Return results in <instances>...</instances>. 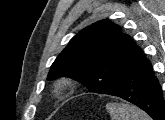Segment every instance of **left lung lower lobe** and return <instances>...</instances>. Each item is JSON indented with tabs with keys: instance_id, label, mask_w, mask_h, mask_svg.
<instances>
[{
	"instance_id": "0a47b994",
	"label": "left lung lower lobe",
	"mask_w": 165,
	"mask_h": 120,
	"mask_svg": "<svg viewBox=\"0 0 165 120\" xmlns=\"http://www.w3.org/2000/svg\"><path fill=\"white\" fill-rule=\"evenodd\" d=\"M108 95L135 104L154 120H165L162 88L141 48L136 51L121 84Z\"/></svg>"
}]
</instances>
